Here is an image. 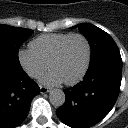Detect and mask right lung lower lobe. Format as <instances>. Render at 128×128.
I'll return each instance as SVG.
<instances>
[{
    "instance_id": "1",
    "label": "right lung lower lobe",
    "mask_w": 128,
    "mask_h": 128,
    "mask_svg": "<svg viewBox=\"0 0 128 128\" xmlns=\"http://www.w3.org/2000/svg\"><path fill=\"white\" fill-rule=\"evenodd\" d=\"M38 85L23 71L0 64V128H15L28 115Z\"/></svg>"
}]
</instances>
